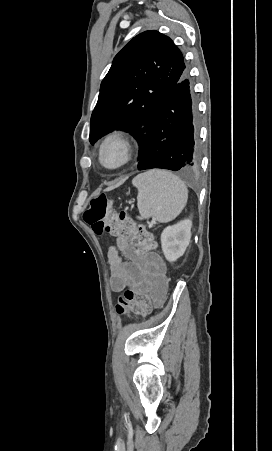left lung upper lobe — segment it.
Here are the masks:
<instances>
[{"label": "left lung upper lobe", "mask_w": 272, "mask_h": 451, "mask_svg": "<svg viewBox=\"0 0 272 451\" xmlns=\"http://www.w3.org/2000/svg\"><path fill=\"white\" fill-rule=\"evenodd\" d=\"M183 55L158 31L134 37L114 58L91 116L90 143L114 129L140 141L144 155L165 100L185 73Z\"/></svg>", "instance_id": "obj_1"}]
</instances>
